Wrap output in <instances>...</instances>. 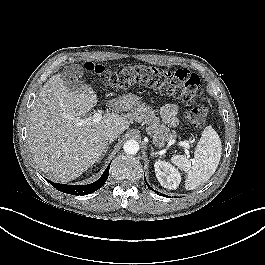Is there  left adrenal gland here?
Listing matches in <instances>:
<instances>
[{
    "mask_svg": "<svg viewBox=\"0 0 265 265\" xmlns=\"http://www.w3.org/2000/svg\"><path fill=\"white\" fill-rule=\"evenodd\" d=\"M151 156L157 157V153L154 152L152 145H151Z\"/></svg>",
    "mask_w": 265,
    "mask_h": 265,
    "instance_id": "obj_1",
    "label": "left adrenal gland"
}]
</instances>
